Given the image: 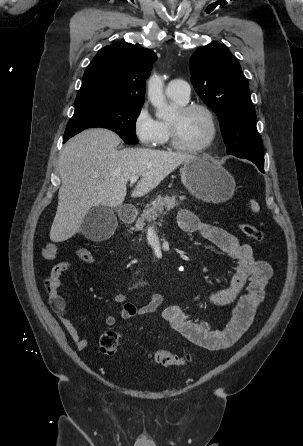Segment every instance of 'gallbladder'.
Wrapping results in <instances>:
<instances>
[{
    "label": "gallbladder",
    "mask_w": 303,
    "mask_h": 446,
    "mask_svg": "<svg viewBox=\"0 0 303 446\" xmlns=\"http://www.w3.org/2000/svg\"><path fill=\"white\" fill-rule=\"evenodd\" d=\"M117 225L112 209L104 206L93 207L85 216L80 232L88 239L100 241L108 238Z\"/></svg>",
    "instance_id": "obj_1"
}]
</instances>
